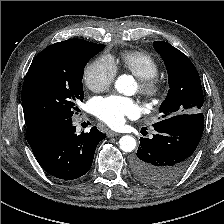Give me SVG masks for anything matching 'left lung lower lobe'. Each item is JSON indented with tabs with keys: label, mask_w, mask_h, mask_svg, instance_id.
Masks as SVG:
<instances>
[{
	"label": "left lung lower lobe",
	"mask_w": 224,
	"mask_h": 224,
	"mask_svg": "<svg viewBox=\"0 0 224 224\" xmlns=\"http://www.w3.org/2000/svg\"><path fill=\"white\" fill-rule=\"evenodd\" d=\"M152 139L140 138L137 156L132 160L133 173L140 181L167 185L188 168L204 128L202 112L179 114L153 124Z\"/></svg>",
	"instance_id": "obj_1"
}]
</instances>
